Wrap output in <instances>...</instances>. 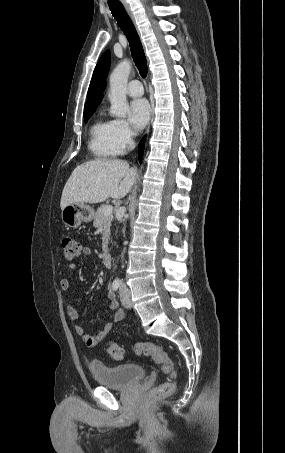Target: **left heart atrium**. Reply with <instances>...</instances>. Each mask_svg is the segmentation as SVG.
<instances>
[{
	"instance_id": "left-heart-atrium-1",
	"label": "left heart atrium",
	"mask_w": 285,
	"mask_h": 453,
	"mask_svg": "<svg viewBox=\"0 0 285 453\" xmlns=\"http://www.w3.org/2000/svg\"><path fill=\"white\" fill-rule=\"evenodd\" d=\"M129 121L136 130L145 127L150 116V106L145 99H135L129 104Z\"/></svg>"
}]
</instances>
